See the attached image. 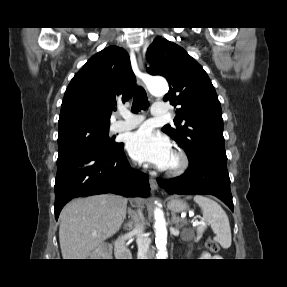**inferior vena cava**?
Wrapping results in <instances>:
<instances>
[{
	"label": "inferior vena cava",
	"instance_id": "inferior-vena-cava-1",
	"mask_svg": "<svg viewBox=\"0 0 287 287\" xmlns=\"http://www.w3.org/2000/svg\"><path fill=\"white\" fill-rule=\"evenodd\" d=\"M141 219L143 215L141 211L138 212ZM134 234L137 236L136 242L138 245V259H146L149 250L150 239L144 234L143 224H139L134 229Z\"/></svg>",
	"mask_w": 287,
	"mask_h": 287
}]
</instances>
